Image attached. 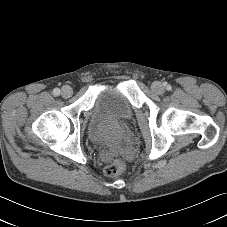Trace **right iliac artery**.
I'll return each mask as SVG.
<instances>
[{
    "instance_id": "1",
    "label": "right iliac artery",
    "mask_w": 227,
    "mask_h": 227,
    "mask_svg": "<svg viewBox=\"0 0 227 227\" xmlns=\"http://www.w3.org/2000/svg\"><path fill=\"white\" fill-rule=\"evenodd\" d=\"M59 94H60V89H59V88H55V89L53 90V95H54V96H59Z\"/></svg>"
}]
</instances>
